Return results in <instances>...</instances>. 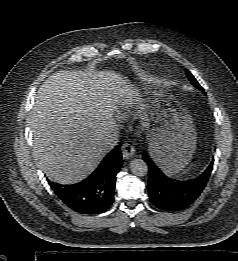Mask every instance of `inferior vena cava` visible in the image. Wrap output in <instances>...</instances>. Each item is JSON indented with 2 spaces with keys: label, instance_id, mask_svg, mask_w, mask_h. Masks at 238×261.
<instances>
[{
  "label": "inferior vena cava",
  "instance_id": "602c4592",
  "mask_svg": "<svg viewBox=\"0 0 238 261\" xmlns=\"http://www.w3.org/2000/svg\"><path fill=\"white\" fill-rule=\"evenodd\" d=\"M119 142V129L117 125H110L109 130L102 142V149L104 151L112 150Z\"/></svg>",
  "mask_w": 238,
  "mask_h": 261
}]
</instances>
